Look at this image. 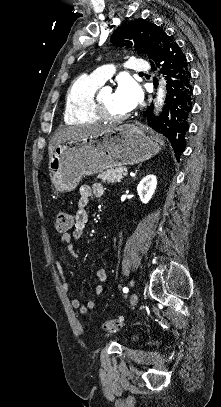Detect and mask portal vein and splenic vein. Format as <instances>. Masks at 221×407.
<instances>
[{"mask_svg":"<svg viewBox=\"0 0 221 407\" xmlns=\"http://www.w3.org/2000/svg\"><path fill=\"white\" fill-rule=\"evenodd\" d=\"M127 174H128L127 171H125V172H124V175L126 176Z\"/></svg>","mask_w":221,"mask_h":407,"instance_id":"18ae733b","label":"portal vein and splenic vein"}]
</instances>
